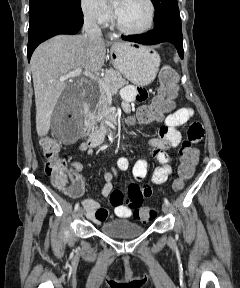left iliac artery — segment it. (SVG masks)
Returning <instances> with one entry per match:
<instances>
[{
  "instance_id": "44dca946",
  "label": "left iliac artery",
  "mask_w": 240,
  "mask_h": 288,
  "mask_svg": "<svg viewBox=\"0 0 240 288\" xmlns=\"http://www.w3.org/2000/svg\"><path fill=\"white\" fill-rule=\"evenodd\" d=\"M164 203L167 205V206H170V203L168 201V199L164 198Z\"/></svg>"
}]
</instances>
